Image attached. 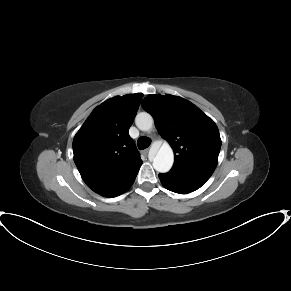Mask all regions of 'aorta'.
<instances>
[{
    "mask_svg": "<svg viewBox=\"0 0 291 291\" xmlns=\"http://www.w3.org/2000/svg\"><path fill=\"white\" fill-rule=\"evenodd\" d=\"M135 124L139 130L148 132L153 128V117L147 112H140L135 118ZM174 162V154L168 143H163L153 159V167L157 172H168Z\"/></svg>",
    "mask_w": 291,
    "mask_h": 291,
    "instance_id": "aorta-1",
    "label": "aorta"
}]
</instances>
